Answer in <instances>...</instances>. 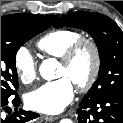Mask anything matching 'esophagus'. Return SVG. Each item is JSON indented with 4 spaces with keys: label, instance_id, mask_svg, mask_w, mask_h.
Instances as JSON below:
<instances>
[{
    "label": "esophagus",
    "instance_id": "34e87169",
    "mask_svg": "<svg viewBox=\"0 0 123 123\" xmlns=\"http://www.w3.org/2000/svg\"><path fill=\"white\" fill-rule=\"evenodd\" d=\"M43 118H44L46 121L53 122V121H56L59 117H58V116L44 115Z\"/></svg>",
    "mask_w": 123,
    "mask_h": 123
}]
</instances>
